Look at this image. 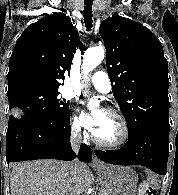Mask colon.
Wrapping results in <instances>:
<instances>
[{"label":"colon","instance_id":"5ec220e1","mask_svg":"<svg viewBox=\"0 0 178 195\" xmlns=\"http://www.w3.org/2000/svg\"><path fill=\"white\" fill-rule=\"evenodd\" d=\"M140 195H154L153 188L149 184L144 183L141 187Z\"/></svg>","mask_w":178,"mask_h":195}]
</instances>
